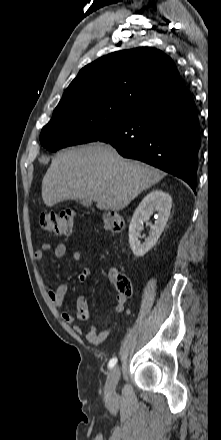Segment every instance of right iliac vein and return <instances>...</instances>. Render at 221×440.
I'll return each mask as SVG.
<instances>
[{
  "mask_svg": "<svg viewBox=\"0 0 221 440\" xmlns=\"http://www.w3.org/2000/svg\"><path fill=\"white\" fill-rule=\"evenodd\" d=\"M119 378H120V371L117 367H114L108 376V380L105 387L108 397L113 398L116 395L115 389L119 381Z\"/></svg>",
  "mask_w": 221,
  "mask_h": 440,
  "instance_id": "right-iliac-vein-1",
  "label": "right iliac vein"
}]
</instances>
